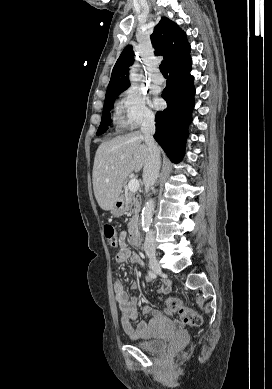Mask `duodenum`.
<instances>
[{
  "label": "duodenum",
  "instance_id": "1",
  "mask_svg": "<svg viewBox=\"0 0 272 389\" xmlns=\"http://www.w3.org/2000/svg\"><path fill=\"white\" fill-rule=\"evenodd\" d=\"M129 238L132 245L135 247H139L141 245L140 235L138 229L133 227L129 232Z\"/></svg>",
  "mask_w": 272,
  "mask_h": 389
}]
</instances>
